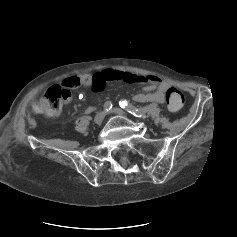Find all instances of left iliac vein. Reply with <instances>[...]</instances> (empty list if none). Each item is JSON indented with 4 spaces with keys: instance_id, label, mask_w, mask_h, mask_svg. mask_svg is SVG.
<instances>
[{
    "instance_id": "4c4485c4",
    "label": "left iliac vein",
    "mask_w": 237,
    "mask_h": 237,
    "mask_svg": "<svg viewBox=\"0 0 237 237\" xmlns=\"http://www.w3.org/2000/svg\"><path fill=\"white\" fill-rule=\"evenodd\" d=\"M111 114H114V115H117V116H123V117H126L127 114L121 110L120 108H113L111 111H110Z\"/></svg>"
}]
</instances>
